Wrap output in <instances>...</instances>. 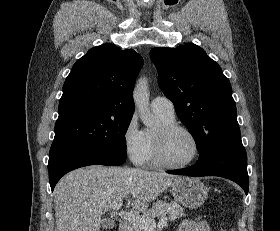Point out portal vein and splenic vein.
I'll list each match as a JSON object with an SVG mask.
<instances>
[{
  "mask_svg": "<svg viewBox=\"0 0 280 231\" xmlns=\"http://www.w3.org/2000/svg\"><path fill=\"white\" fill-rule=\"evenodd\" d=\"M120 205H122V201H120ZM116 215H119L121 219H126V221H135V223H142V227L146 229V231H152L155 227H164V225H168L167 217H161L158 223H155L154 219H145L143 215H135L132 211H114Z\"/></svg>",
  "mask_w": 280,
  "mask_h": 231,
  "instance_id": "obj_1",
  "label": "portal vein and splenic vein"
}]
</instances>
